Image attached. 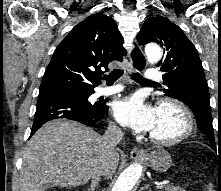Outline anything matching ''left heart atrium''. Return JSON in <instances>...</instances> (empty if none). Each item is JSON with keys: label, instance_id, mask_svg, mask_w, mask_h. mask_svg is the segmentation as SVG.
<instances>
[{"label": "left heart atrium", "instance_id": "left-heart-atrium-1", "mask_svg": "<svg viewBox=\"0 0 221 191\" xmlns=\"http://www.w3.org/2000/svg\"><path fill=\"white\" fill-rule=\"evenodd\" d=\"M115 118L123 125L135 132H152L158 110L147 104L143 97L133 94L115 102L113 106Z\"/></svg>", "mask_w": 221, "mask_h": 191}]
</instances>
